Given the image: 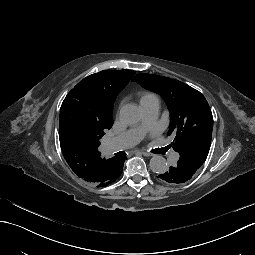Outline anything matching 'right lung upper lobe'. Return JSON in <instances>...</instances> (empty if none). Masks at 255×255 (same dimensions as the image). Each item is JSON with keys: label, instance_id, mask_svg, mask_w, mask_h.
I'll return each mask as SVG.
<instances>
[{"label": "right lung upper lobe", "instance_id": "cb5924a9", "mask_svg": "<svg viewBox=\"0 0 255 255\" xmlns=\"http://www.w3.org/2000/svg\"><path fill=\"white\" fill-rule=\"evenodd\" d=\"M135 74L131 70H104L81 80L66 96L62 106L79 119L104 125H113V103L117 95ZM99 146H62L63 155L78 177L104 187L120 177L124 157L104 158Z\"/></svg>", "mask_w": 255, "mask_h": 255}]
</instances>
